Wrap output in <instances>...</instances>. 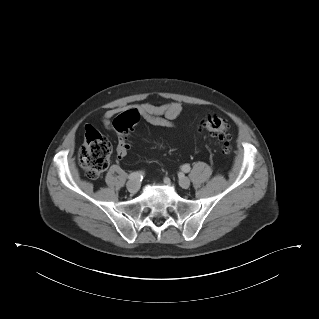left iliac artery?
I'll return each instance as SVG.
<instances>
[{
    "label": "left iliac artery",
    "mask_w": 319,
    "mask_h": 319,
    "mask_svg": "<svg viewBox=\"0 0 319 319\" xmlns=\"http://www.w3.org/2000/svg\"><path fill=\"white\" fill-rule=\"evenodd\" d=\"M181 169H182L183 172H186V173H187V172L190 171L191 168H190V165L185 164V165L182 166Z\"/></svg>",
    "instance_id": "44dca946"
}]
</instances>
